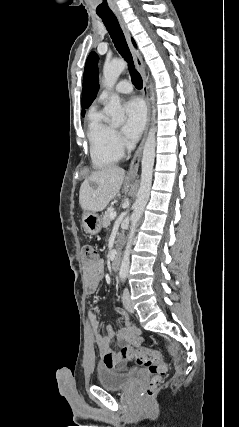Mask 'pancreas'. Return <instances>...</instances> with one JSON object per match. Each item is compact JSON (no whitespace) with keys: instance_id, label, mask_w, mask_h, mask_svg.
<instances>
[{"instance_id":"1","label":"pancreas","mask_w":239,"mask_h":427,"mask_svg":"<svg viewBox=\"0 0 239 427\" xmlns=\"http://www.w3.org/2000/svg\"><path fill=\"white\" fill-rule=\"evenodd\" d=\"M110 211H106L102 216V225L103 227H108L112 219H110Z\"/></svg>"}]
</instances>
